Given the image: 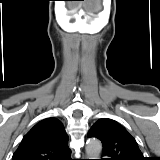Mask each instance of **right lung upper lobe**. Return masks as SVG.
Returning a JSON list of instances; mask_svg holds the SVG:
<instances>
[{"label":"right lung upper lobe","instance_id":"cb5924a9","mask_svg":"<svg viewBox=\"0 0 160 160\" xmlns=\"http://www.w3.org/2000/svg\"><path fill=\"white\" fill-rule=\"evenodd\" d=\"M63 124L56 118L38 122L22 139L12 160H70Z\"/></svg>","mask_w":160,"mask_h":160}]
</instances>
